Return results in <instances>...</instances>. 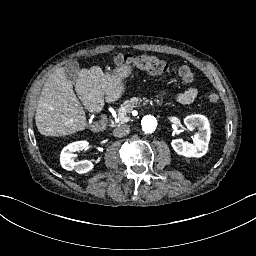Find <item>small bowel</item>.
Masks as SVG:
<instances>
[{
  "label": "small bowel",
  "instance_id": "1",
  "mask_svg": "<svg viewBox=\"0 0 256 256\" xmlns=\"http://www.w3.org/2000/svg\"><path fill=\"white\" fill-rule=\"evenodd\" d=\"M166 96V93H163ZM198 95V90L195 87H189L186 90L176 93L171 97L180 104L192 103Z\"/></svg>",
  "mask_w": 256,
  "mask_h": 256
}]
</instances>
